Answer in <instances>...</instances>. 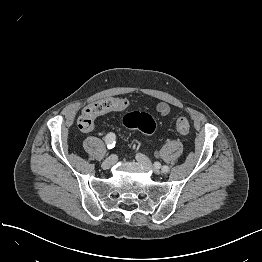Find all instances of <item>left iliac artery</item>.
<instances>
[{
	"label": "left iliac artery",
	"instance_id": "1",
	"mask_svg": "<svg viewBox=\"0 0 262 262\" xmlns=\"http://www.w3.org/2000/svg\"><path fill=\"white\" fill-rule=\"evenodd\" d=\"M155 165H156V164H155ZM162 171L167 173V172L169 171V167L166 166V165H164V166L162 167Z\"/></svg>",
	"mask_w": 262,
	"mask_h": 262
}]
</instances>
